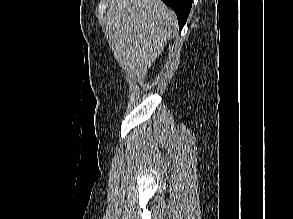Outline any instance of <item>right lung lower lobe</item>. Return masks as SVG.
<instances>
[{
    "label": "right lung lower lobe",
    "mask_w": 293,
    "mask_h": 219,
    "mask_svg": "<svg viewBox=\"0 0 293 219\" xmlns=\"http://www.w3.org/2000/svg\"><path fill=\"white\" fill-rule=\"evenodd\" d=\"M162 1L176 12L179 28L182 29L188 18L193 0H162Z\"/></svg>",
    "instance_id": "1"
}]
</instances>
